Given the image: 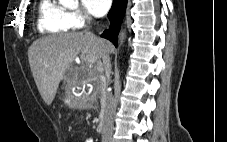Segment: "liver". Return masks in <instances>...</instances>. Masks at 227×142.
Returning a JSON list of instances; mask_svg holds the SVG:
<instances>
[{"label":"liver","mask_w":227,"mask_h":142,"mask_svg":"<svg viewBox=\"0 0 227 142\" xmlns=\"http://www.w3.org/2000/svg\"><path fill=\"white\" fill-rule=\"evenodd\" d=\"M113 45L104 39L72 32L40 38L28 49L30 69L38 91L47 105L55 98L59 83L81 53L86 63V78L96 73V63L109 55Z\"/></svg>","instance_id":"6515ba94"}]
</instances>
